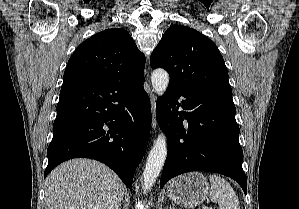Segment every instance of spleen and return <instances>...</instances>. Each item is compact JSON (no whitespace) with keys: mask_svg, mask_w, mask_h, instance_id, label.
I'll return each mask as SVG.
<instances>
[{"mask_svg":"<svg viewBox=\"0 0 299 209\" xmlns=\"http://www.w3.org/2000/svg\"><path fill=\"white\" fill-rule=\"evenodd\" d=\"M211 201L218 203L220 209H240L238 197L231 185L218 175L209 176Z\"/></svg>","mask_w":299,"mask_h":209,"instance_id":"obj_1","label":"spleen"}]
</instances>
